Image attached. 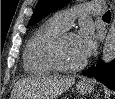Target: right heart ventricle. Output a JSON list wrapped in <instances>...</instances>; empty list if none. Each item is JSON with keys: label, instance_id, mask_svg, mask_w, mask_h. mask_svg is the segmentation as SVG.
<instances>
[{"label": "right heart ventricle", "instance_id": "right-heart-ventricle-1", "mask_svg": "<svg viewBox=\"0 0 115 99\" xmlns=\"http://www.w3.org/2000/svg\"><path fill=\"white\" fill-rule=\"evenodd\" d=\"M65 30L49 20L34 31L23 52V67L27 74L42 76L56 71L47 57V48L50 42Z\"/></svg>", "mask_w": 115, "mask_h": 99}]
</instances>
